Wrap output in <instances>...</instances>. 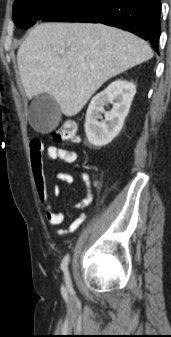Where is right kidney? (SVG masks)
I'll list each match as a JSON object with an SVG mask.
<instances>
[{
  "mask_svg": "<svg viewBox=\"0 0 171 337\" xmlns=\"http://www.w3.org/2000/svg\"><path fill=\"white\" fill-rule=\"evenodd\" d=\"M136 93L132 82L116 80L91 100L86 113L85 133L89 143L101 147L110 143L121 131ZM112 104L106 112L104 106ZM101 113L105 115V121Z\"/></svg>",
  "mask_w": 171,
  "mask_h": 337,
  "instance_id": "right-kidney-1",
  "label": "right kidney"
}]
</instances>
